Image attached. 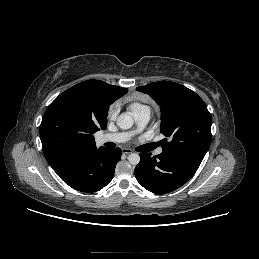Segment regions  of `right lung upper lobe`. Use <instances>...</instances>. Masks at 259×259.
<instances>
[{
  "mask_svg": "<svg viewBox=\"0 0 259 259\" xmlns=\"http://www.w3.org/2000/svg\"><path fill=\"white\" fill-rule=\"evenodd\" d=\"M128 89L99 80H87L61 93L47 108L41 125L40 138L43 152L49 164L63 155L96 148L93 134L106 129L109 105L127 93ZM60 115L71 117L81 125V135L71 146L55 148L43 136L44 127Z\"/></svg>",
  "mask_w": 259,
  "mask_h": 259,
  "instance_id": "obj_1",
  "label": "right lung upper lobe"
}]
</instances>
